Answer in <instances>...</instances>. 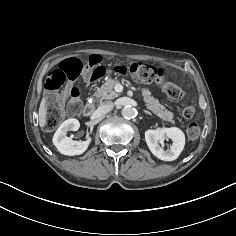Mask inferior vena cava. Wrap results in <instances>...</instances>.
<instances>
[{
	"instance_id": "inferior-vena-cava-1",
	"label": "inferior vena cava",
	"mask_w": 236,
	"mask_h": 236,
	"mask_svg": "<svg viewBox=\"0 0 236 236\" xmlns=\"http://www.w3.org/2000/svg\"><path fill=\"white\" fill-rule=\"evenodd\" d=\"M113 107H114V104L112 101H106L99 105L98 110L99 112L105 114V113L110 112L113 109Z\"/></svg>"
}]
</instances>
